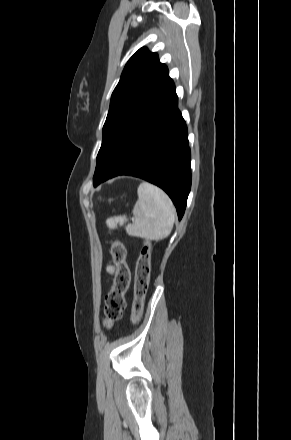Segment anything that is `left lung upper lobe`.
<instances>
[{
    "instance_id": "5c2ea615",
    "label": "left lung upper lobe",
    "mask_w": 291,
    "mask_h": 440,
    "mask_svg": "<svg viewBox=\"0 0 291 440\" xmlns=\"http://www.w3.org/2000/svg\"><path fill=\"white\" fill-rule=\"evenodd\" d=\"M171 82L168 68L158 55L139 49L127 62L111 96L103 127L102 145L97 155L95 174L127 127L158 97ZM94 174V175H95Z\"/></svg>"
}]
</instances>
